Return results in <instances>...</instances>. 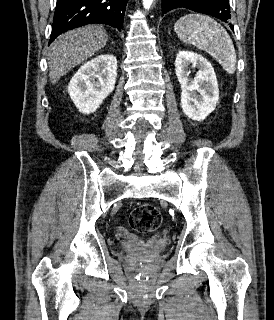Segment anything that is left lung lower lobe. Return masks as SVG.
I'll return each mask as SVG.
<instances>
[{
    "label": "left lung lower lobe",
    "mask_w": 274,
    "mask_h": 320,
    "mask_svg": "<svg viewBox=\"0 0 274 320\" xmlns=\"http://www.w3.org/2000/svg\"><path fill=\"white\" fill-rule=\"evenodd\" d=\"M176 8H187L219 18L224 22L231 19L229 0H162V13ZM229 25L233 30V25L230 23Z\"/></svg>",
    "instance_id": "0a47b994"
}]
</instances>
